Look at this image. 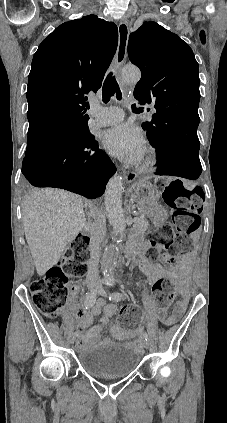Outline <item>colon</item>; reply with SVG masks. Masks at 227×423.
<instances>
[{
	"label": "colon",
	"mask_w": 227,
	"mask_h": 423,
	"mask_svg": "<svg viewBox=\"0 0 227 423\" xmlns=\"http://www.w3.org/2000/svg\"><path fill=\"white\" fill-rule=\"evenodd\" d=\"M165 203L173 212V224L163 225L152 232L154 245L165 247L171 255L190 249L189 235L200 226L202 205L197 186H187L180 181H159ZM89 237L78 234L64 254L63 260L49 269L44 276L35 280L30 287L32 300L39 311L48 318H55L67 299L69 277L82 276L87 270ZM153 252L151 257H155ZM177 272L159 279L152 288L153 300L159 311H167L176 295ZM118 325L126 330H136L140 326L141 315L137 306L124 307L118 316Z\"/></svg>",
	"instance_id": "5ec220e1"
}]
</instances>
